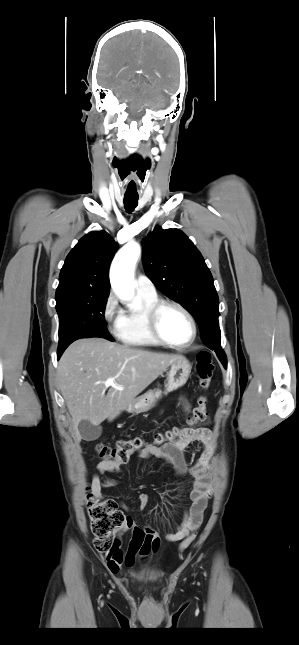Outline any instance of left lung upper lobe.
I'll list each match as a JSON object with an SVG mask.
<instances>
[{"label":"left lung upper lobe","mask_w":299,"mask_h":645,"mask_svg":"<svg viewBox=\"0 0 299 645\" xmlns=\"http://www.w3.org/2000/svg\"><path fill=\"white\" fill-rule=\"evenodd\" d=\"M147 276L167 297L183 305L199 325L202 340L226 367L221 348L219 299L213 277L192 241L179 229L156 227L143 241Z\"/></svg>","instance_id":"left-lung-upper-lobe-1"}]
</instances>
